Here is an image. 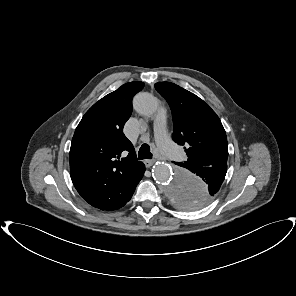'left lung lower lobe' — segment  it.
Instances as JSON below:
<instances>
[{"mask_svg": "<svg viewBox=\"0 0 296 296\" xmlns=\"http://www.w3.org/2000/svg\"><path fill=\"white\" fill-rule=\"evenodd\" d=\"M213 168L211 167H204L200 172H197V174L206 181L208 188L205 190L197 191L194 196L196 197V204L197 205H206L208 204L209 198L208 196L216 195V193L219 191L221 184L225 178L227 167H219V170L213 171Z\"/></svg>", "mask_w": 296, "mask_h": 296, "instance_id": "left-lung-lower-lobe-1", "label": "left lung lower lobe"}]
</instances>
